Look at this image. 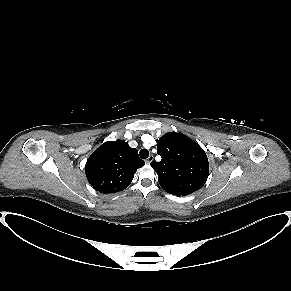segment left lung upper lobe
Returning a JSON list of instances; mask_svg holds the SVG:
<instances>
[{
  "label": "left lung upper lobe",
  "instance_id": "obj_1",
  "mask_svg": "<svg viewBox=\"0 0 291 291\" xmlns=\"http://www.w3.org/2000/svg\"><path fill=\"white\" fill-rule=\"evenodd\" d=\"M160 162L151 166L158 174L160 186L168 193L186 196L199 190L209 174L204 150L182 133H166L157 141Z\"/></svg>",
  "mask_w": 291,
  "mask_h": 291
}]
</instances>
